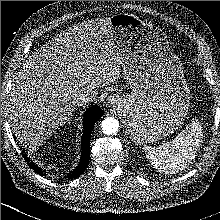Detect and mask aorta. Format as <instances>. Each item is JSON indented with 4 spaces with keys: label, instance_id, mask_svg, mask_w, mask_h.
I'll use <instances>...</instances> for the list:
<instances>
[{
    "label": "aorta",
    "instance_id": "obj_1",
    "mask_svg": "<svg viewBox=\"0 0 220 220\" xmlns=\"http://www.w3.org/2000/svg\"><path fill=\"white\" fill-rule=\"evenodd\" d=\"M101 127L103 130V133L107 135L115 134L119 129V123L113 117H107L102 121Z\"/></svg>",
    "mask_w": 220,
    "mask_h": 220
}]
</instances>
